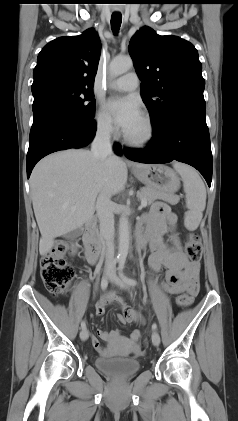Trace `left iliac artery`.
Returning a JSON list of instances; mask_svg holds the SVG:
<instances>
[{
    "label": "left iliac artery",
    "instance_id": "obj_1",
    "mask_svg": "<svg viewBox=\"0 0 238 421\" xmlns=\"http://www.w3.org/2000/svg\"><path fill=\"white\" fill-rule=\"evenodd\" d=\"M124 265H125V261L124 260H121L120 262H119V266H118V270H119V276H120V278L122 279V281L124 282V283H126L127 285H129V286H135L136 284H137V281L136 280H134V279H131V278H128L127 276H125L124 275V273H123V268H124ZM157 328V324L156 323H154L153 325H152V329L153 330H155Z\"/></svg>",
    "mask_w": 238,
    "mask_h": 421
}]
</instances>
